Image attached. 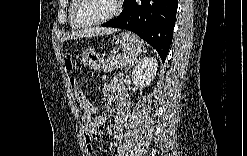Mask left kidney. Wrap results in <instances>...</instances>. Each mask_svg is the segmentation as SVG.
<instances>
[{"label": "left kidney", "instance_id": "obj_1", "mask_svg": "<svg viewBox=\"0 0 247 156\" xmlns=\"http://www.w3.org/2000/svg\"><path fill=\"white\" fill-rule=\"evenodd\" d=\"M158 68V61L154 57H145L141 59L132 71L133 83L144 88L150 85Z\"/></svg>", "mask_w": 247, "mask_h": 156}]
</instances>
